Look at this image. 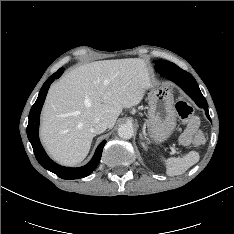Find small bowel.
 <instances>
[{"instance_id":"small-bowel-1","label":"small bowel","mask_w":234,"mask_h":234,"mask_svg":"<svg viewBox=\"0 0 234 234\" xmlns=\"http://www.w3.org/2000/svg\"><path fill=\"white\" fill-rule=\"evenodd\" d=\"M197 121H198V119H197ZM194 131H195V129L191 128V127H187L184 130L183 134L181 135V142H182V144L188 145L190 143L191 137H192Z\"/></svg>"}]
</instances>
